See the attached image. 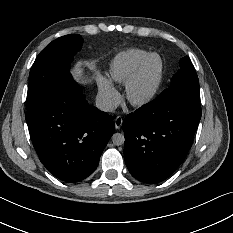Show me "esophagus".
<instances>
[{
    "instance_id": "1",
    "label": "esophagus",
    "mask_w": 233,
    "mask_h": 233,
    "mask_svg": "<svg viewBox=\"0 0 233 233\" xmlns=\"http://www.w3.org/2000/svg\"><path fill=\"white\" fill-rule=\"evenodd\" d=\"M122 122H123V120H122L121 116H117L115 118V127H116V129H120L121 128Z\"/></svg>"
}]
</instances>
